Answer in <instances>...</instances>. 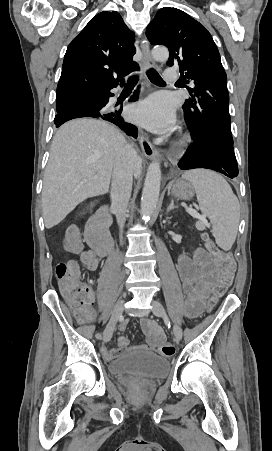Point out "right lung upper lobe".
Masks as SVG:
<instances>
[{"label": "right lung upper lobe", "mask_w": 272, "mask_h": 451, "mask_svg": "<svg viewBox=\"0 0 272 451\" xmlns=\"http://www.w3.org/2000/svg\"><path fill=\"white\" fill-rule=\"evenodd\" d=\"M134 33L116 11L97 14L69 44L57 86V98L112 89L137 70ZM113 72L117 73L115 77Z\"/></svg>", "instance_id": "cb5924a9"}]
</instances>
